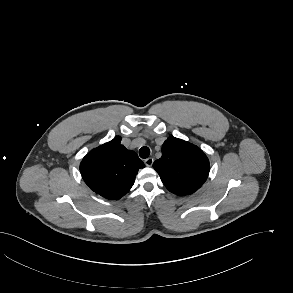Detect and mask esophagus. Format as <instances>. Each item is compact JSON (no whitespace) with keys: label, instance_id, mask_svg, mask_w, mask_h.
<instances>
[{"label":"esophagus","instance_id":"esophagus-1","mask_svg":"<svg viewBox=\"0 0 293 293\" xmlns=\"http://www.w3.org/2000/svg\"><path fill=\"white\" fill-rule=\"evenodd\" d=\"M144 162H145L146 166L150 167V166H152L154 159L149 157Z\"/></svg>","mask_w":293,"mask_h":293}]
</instances>
